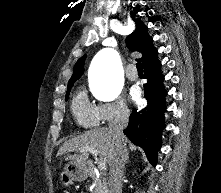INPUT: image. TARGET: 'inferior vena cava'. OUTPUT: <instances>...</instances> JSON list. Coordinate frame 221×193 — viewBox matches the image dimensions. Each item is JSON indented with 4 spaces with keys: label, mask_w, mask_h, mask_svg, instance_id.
I'll return each mask as SVG.
<instances>
[{
    "label": "inferior vena cava",
    "mask_w": 221,
    "mask_h": 193,
    "mask_svg": "<svg viewBox=\"0 0 221 193\" xmlns=\"http://www.w3.org/2000/svg\"><path fill=\"white\" fill-rule=\"evenodd\" d=\"M129 115V110L122 108L109 125L115 139V153L109 164V193L122 192L123 170L128 157L123 130L128 125Z\"/></svg>",
    "instance_id": "obj_1"
}]
</instances>
